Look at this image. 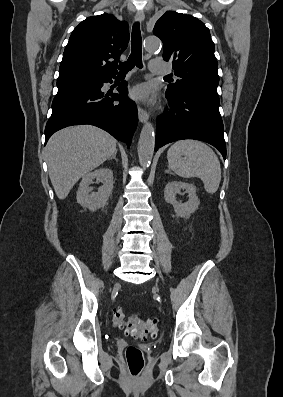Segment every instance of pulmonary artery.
<instances>
[{
	"label": "pulmonary artery",
	"instance_id": "pulmonary-artery-1",
	"mask_svg": "<svg viewBox=\"0 0 283 397\" xmlns=\"http://www.w3.org/2000/svg\"><path fill=\"white\" fill-rule=\"evenodd\" d=\"M150 71L155 74H167L169 68L159 59H153L150 62Z\"/></svg>",
	"mask_w": 283,
	"mask_h": 397
}]
</instances>
